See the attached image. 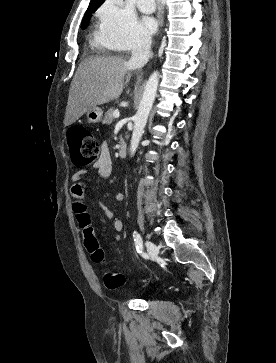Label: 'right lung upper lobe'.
<instances>
[{
  "instance_id": "1",
  "label": "right lung upper lobe",
  "mask_w": 276,
  "mask_h": 363,
  "mask_svg": "<svg viewBox=\"0 0 276 363\" xmlns=\"http://www.w3.org/2000/svg\"><path fill=\"white\" fill-rule=\"evenodd\" d=\"M104 0H91L90 4H89V7L90 6H100L102 4Z\"/></svg>"
}]
</instances>
